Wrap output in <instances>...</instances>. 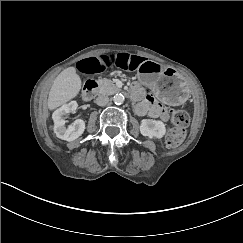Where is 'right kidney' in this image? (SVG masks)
Returning <instances> with one entry per match:
<instances>
[{
  "label": "right kidney",
  "mask_w": 243,
  "mask_h": 243,
  "mask_svg": "<svg viewBox=\"0 0 243 243\" xmlns=\"http://www.w3.org/2000/svg\"><path fill=\"white\" fill-rule=\"evenodd\" d=\"M78 104L76 101H72L67 105L62 106L60 109L55 111L53 114L54 119V133L56 136L62 140L72 142L78 139L84 133L86 123L84 119H77L73 124L65 127V118L70 112H75L77 110Z\"/></svg>",
  "instance_id": "1"
}]
</instances>
